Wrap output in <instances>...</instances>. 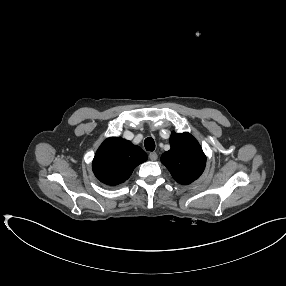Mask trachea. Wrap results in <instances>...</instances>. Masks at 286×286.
Here are the masks:
<instances>
[{
	"label": "trachea",
	"instance_id": "1",
	"mask_svg": "<svg viewBox=\"0 0 286 286\" xmlns=\"http://www.w3.org/2000/svg\"><path fill=\"white\" fill-rule=\"evenodd\" d=\"M144 146L147 151L155 150V142L152 138L148 137L144 140Z\"/></svg>",
	"mask_w": 286,
	"mask_h": 286
}]
</instances>
